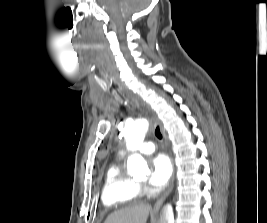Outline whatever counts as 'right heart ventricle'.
Here are the masks:
<instances>
[{"label": "right heart ventricle", "instance_id": "obj_1", "mask_svg": "<svg viewBox=\"0 0 267 223\" xmlns=\"http://www.w3.org/2000/svg\"><path fill=\"white\" fill-rule=\"evenodd\" d=\"M138 195L139 187L124 173L119 159L105 174L102 203L108 207H117L135 200Z\"/></svg>", "mask_w": 267, "mask_h": 223}]
</instances>
